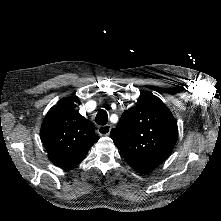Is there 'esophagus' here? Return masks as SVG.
<instances>
[{
    "label": "esophagus",
    "mask_w": 221,
    "mask_h": 221,
    "mask_svg": "<svg viewBox=\"0 0 221 221\" xmlns=\"http://www.w3.org/2000/svg\"><path fill=\"white\" fill-rule=\"evenodd\" d=\"M112 126L110 124L99 126L97 132L100 136H109Z\"/></svg>",
    "instance_id": "1"
}]
</instances>
